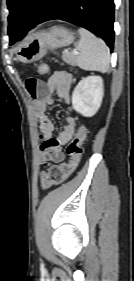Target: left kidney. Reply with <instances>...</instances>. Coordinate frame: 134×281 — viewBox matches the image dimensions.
Wrapping results in <instances>:
<instances>
[{
  "label": "left kidney",
  "instance_id": "left-kidney-1",
  "mask_svg": "<svg viewBox=\"0 0 134 281\" xmlns=\"http://www.w3.org/2000/svg\"><path fill=\"white\" fill-rule=\"evenodd\" d=\"M103 95V79L100 76L83 78L73 91V108L85 117H92L99 110Z\"/></svg>",
  "mask_w": 134,
  "mask_h": 281
}]
</instances>
